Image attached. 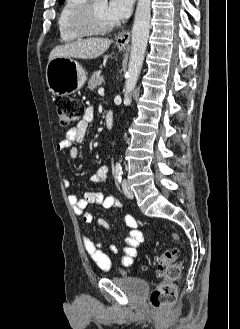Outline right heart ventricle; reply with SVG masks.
Listing matches in <instances>:
<instances>
[{
	"label": "right heart ventricle",
	"instance_id": "1",
	"mask_svg": "<svg viewBox=\"0 0 240 329\" xmlns=\"http://www.w3.org/2000/svg\"><path fill=\"white\" fill-rule=\"evenodd\" d=\"M85 3V0H65L59 12L57 26L60 39L63 42H75L88 34H79L72 27V18L77 10Z\"/></svg>",
	"mask_w": 240,
	"mask_h": 329
}]
</instances>
